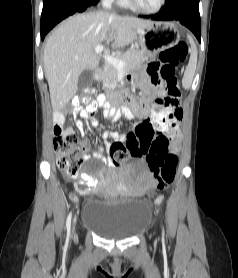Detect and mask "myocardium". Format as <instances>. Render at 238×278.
<instances>
[{
    "label": "myocardium",
    "instance_id": "obj_1",
    "mask_svg": "<svg viewBox=\"0 0 238 278\" xmlns=\"http://www.w3.org/2000/svg\"><path fill=\"white\" fill-rule=\"evenodd\" d=\"M127 1L129 2V4L131 5V7L133 9H135L136 11H138L140 13L147 14V15L157 14L158 12H160L163 9V7L166 4V0H159L156 7L148 9V8L142 7L136 0H127Z\"/></svg>",
    "mask_w": 238,
    "mask_h": 278
}]
</instances>
